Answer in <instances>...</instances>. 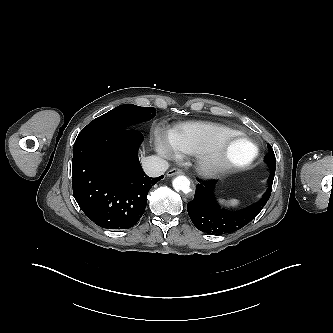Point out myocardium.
I'll list each match as a JSON object with an SVG mask.
<instances>
[{"instance_id": "f54148a6", "label": "myocardium", "mask_w": 333, "mask_h": 333, "mask_svg": "<svg viewBox=\"0 0 333 333\" xmlns=\"http://www.w3.org/2000/svg\"><path fill=\"white\" fill-rule=\"evenodd\" d=\"M237 143L250 147L249 154L242 159H236L230 153V146ZM258 153L256 144L250 138L240 133H234L221 137L208 149L197 154V169L207 176L243 169L255 161Z\"/></svg>"}]
</instances>
